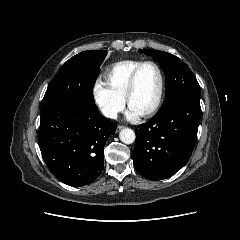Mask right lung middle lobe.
<instances>
[{"instance_id": "dd1d6c3e", "label": "right lung middle lobe", "mask_w": 240, "mask_h": 240, "mask_svg": "<svg viewBox=\"0 0 240 240\" xmlns=\"http://www.w3.org/2000/svg\"><path fill=\"white\" fill-rule=\"evenodd\" d=\"M106 55V50H89L66 61L48 85L41 112L63 104L96 109L93 86Z\"/></svg>"}]
</instances>
